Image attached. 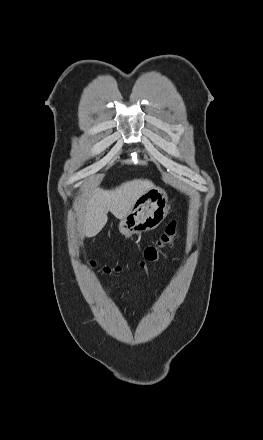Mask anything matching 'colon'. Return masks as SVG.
Returning <instances> with one entry per match:
<instances>
[{
    "instance_id": "5ec220e1",
    "label": "colon",
    "mask_w": 263,
    "mask_h": 440,
    "mask_svg": "<svg viewBox=\"0 0 263 440\" xmlns=\"http://www.w3.org/2000/svg\"><path fill=\"white\" fill-rule=\"evenodd\" d=\"M177 235V223L172 221L161 235L159 240L150 246H147L143 251V258L140 262L142 267L158 262L160 256L169 248H171ZM121 270L120 267H104L103 271L107 274L117 273Z\"/></svg>"
}]
</instances>
